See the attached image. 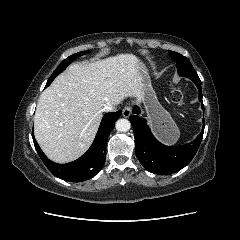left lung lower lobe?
<instances>
[{"label":"left lung lower lobe","instance_id":"left-lung-lower-lobe-1","mask_svg":"<svg viewBox=\"0 0 240 240\" xmlns=\"http://www.w3.org/2000/svg\"><path fill=\"white\" fill-rule=\"evenodd\" d=\"M191 80L198 88L199 100L202 103L201 80L199 77ZM202 109H204L203 105ZM132 114L129 120L134 131L135 152L147 171L158 175L172 174L190 163L203 138L204 119L202 131L194 141L178 147H168L154 138L146 120L139 117L140 110L137 106H134Z\"/></svg>","mask_w":240,"mask_h":240}]
</instances>
